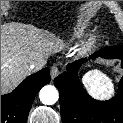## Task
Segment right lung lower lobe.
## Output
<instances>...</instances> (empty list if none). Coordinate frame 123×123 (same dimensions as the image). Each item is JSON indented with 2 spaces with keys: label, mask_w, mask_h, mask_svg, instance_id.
Here are the masks:
<instances>
[{
  "label": "right lung lower lobe",
  "mask_w": 123,
  "mask_h": 123,
  "mask_svg": "<svg viewBox=\"0 0 123 123\" xmlns=\"http://www.w3.org/2000/svg\"><path fill=\"white\" fill-rule=\"evenodd\" d=\"M49 69L27 77L12 93L1 96V123H27L38 91L50 82Z\"/></svg>",
  "instance_id": "1"
}]
</instances>
